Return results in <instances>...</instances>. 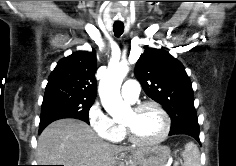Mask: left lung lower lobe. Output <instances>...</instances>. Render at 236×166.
Masks as SVG:
<instances>
[{"label": "left lung lower lobe", "mask_w": 236, "mask_h": 166, "mask_svg": "<svg viewBox=\"0 0 236 166\" xmlns=\"http://www.w3.org/2000/svg\"><path fill=\"white\" fill-rule=\"evenodd\" d=\"M176 134L190 135L200 142L199 124L197 121V117H193L188 120L171 125L169 135H176Z\"/></svg>", "instance_id": "obj_1"}]
</instances>
